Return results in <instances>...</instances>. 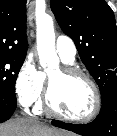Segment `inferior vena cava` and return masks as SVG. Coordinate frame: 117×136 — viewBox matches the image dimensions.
<instances>
[{
    "instance_id": "1",
    "label": "inferior vena cava",
    "mask_w": 117,
    "mask_h": 136,
    "mask_svg": "<svg viewBox=\"0 0 117 136\" xmlns=\"http://www.w3.org/2000/svg\"><path fill=\"white\" fill-rule=\"evenodd\" d=\"M33 123L38 124V122H37V121H33Z\"/></svg>"
}]
</instances>
